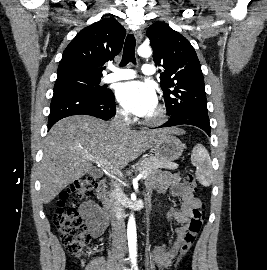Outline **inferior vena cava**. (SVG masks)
<instances>
[{"mask_svg":"<svg viewBox=\"0 0 267 270\" xmlns=\"http://www.w3.org/2000/svg\"><path fill=\"white\" fill-rule=\"evenodd\" d=\"M111 123L118 130H128L130 124L128 114L124 112L118 113ZM123 199L124 193L121 187L117 183H113L109 193V211L111 215L113 239L118 250L117 260L119 263L123 262L126 250Z\"/></svg>","mask_w":267,"mask_h":270,"instance_id":"inferior-vena-cava-1","label":"inferior vena cava"}]
</instances>
